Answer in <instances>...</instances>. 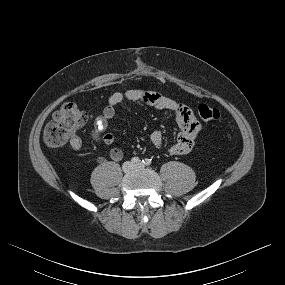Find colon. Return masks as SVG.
I'll use <instances>...</instances> for the list:
<instances>
[{"mask_svg": "<svg viewBox=\"0 0 285 285\" xmlns=\"http://www.w3.org/2000/svg\"><path fill=\"white\" fill-rule=\"evenodd\" d=\"M198 116L203 121L226 119L227 115L207 104L198 107ZM86 114L75 103H64L53 115L43 131L44 142L51 147L64 145L86 122Z\"/></svg>", "mask_w": 285, "mask_h": 285, "instance_id": "obj_1", "label": "colon"}]
</instances>
